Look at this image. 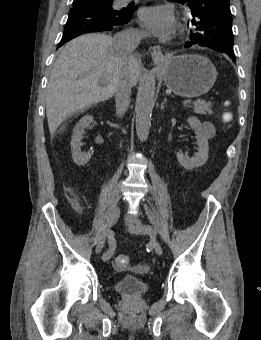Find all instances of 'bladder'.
<instances>
[{
  "instance_id": "obj_1",
  "label": "bladder",
  "mask_w": 261,
  "mask_h": 340,
  "mask_svg": "<svg viewBox=\"0 0 261 340\" xmlns=\"http://www.w3.org/2000/svg\"><path fill=\"white\" fill-rule=\"evenodd\" d=\"M114 288L121 295L133 298L143 295L148 285L144 279L127 274L117 279Z\"/></svg>"
}]
</instances>
